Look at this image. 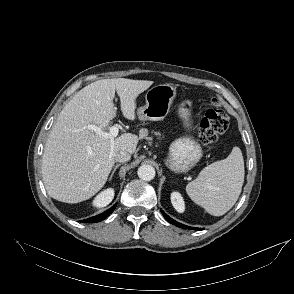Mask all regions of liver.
I'll list each match as a JSON object with an SVG mask.
<instances>
[{
    "label": "liver",
    "instance_id": "obj_1",
    "mask_svg": "<svg viewBox=\"0 0 294 294\" xmlns=\"http://www.w3.org/2000/svg\"><path fill=\"white\" fill-rule=\"evenodd\" d=\"M153 81L125 78L101 79L84 88L60 112L45 145L42 176L50 197L78 203L94 196L105 185L120 151L133 154L138 137L124 133L116 139L100 136L88 127L105 132L116 116L117 92L123 116L135 120L136 98Z\"/></svg>",
    "mask_w": 294,
    "mask_h": 294
}]
</instances>
